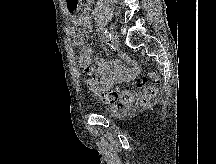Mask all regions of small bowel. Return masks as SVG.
<instances>
[{
  "label": "small bowel",
  "mask_w": 216,
  "mask_h": 164,
  "mask_svg": "<svg viewBox=\"0 0 216 164\" xmlns=\"http://www.w3.org/2000/svg\"><path fill=\"white\" fill-rule=\"evenodd\" d=\"M79 27L81 31H78ZM90 29L91 22L86 13L72 19L70 34L73 45L79 48L77 62L80 68L103 87H112L122 81L134 78L138 72L136 64L125 66L119 61L109 64L100 55H93L92 47L84 43V37Z\"/></svg>",
  "instance_id": "obj_1"
}]
</instances>
